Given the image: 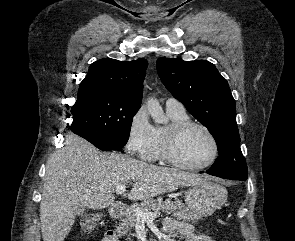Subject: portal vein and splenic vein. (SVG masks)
Here are the masks:
<instances>
[{
    "label": "portal vein and splenic vein",
    "mask_w": 295,
    "mask_h": 241,
    "mask_svg": "<svg viewBox=\"0 0 295 241\" xmlns=\"http://www.w3.org/2000/svg\"><path fill=\"white\" fill-rule=\"evenodd\" d=\"M117 194H123L126 191V186H118L115 189ZM137 221H146L154 219L158 216V213L143 212L139 208L135 210Z\"/></svg>",
    "instance_id": "obj_1"
}]
</instances>
